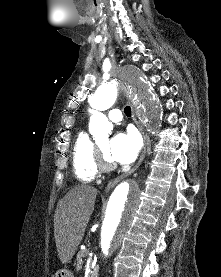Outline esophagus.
<instances>
[{"label":"esophagus","instance_id":"1","mask_svg":"<svg viewBox=\"0 0 221 277\" xmlns=\"http://www.w3.org/2000/svg\"><path fill=\"white\" fill-rule=\"evenodd\" d=\"M132 114H133V119L139 129V131L141 132L143 139H144V146L141 152V155L137 161V163L135 164V166L133 168H131L129 171L119 175L118 177H116L115 179L111 180L106 188H105V192H109L110 189H112L118 182H120L121 180H123L124 178H126L127 176H129L130 174H132L134 171H136L138 169V167L141 165V163L143 162L145 155H146V150H147V146H148V137L146 136L145 132H144V128L143 125L141 123V121L138 119L137 114L135 109L133 108L132 105Z\"/></svg>","mask_w":221,"mask_h":277}]
</instances>
